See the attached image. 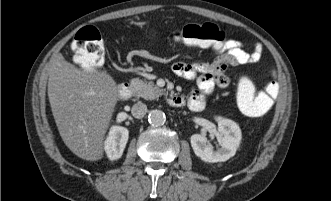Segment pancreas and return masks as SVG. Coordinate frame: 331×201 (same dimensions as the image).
I'll list each match as a JSON object with an SVG mask.
<instances>
[{
	"mask_svg": "<svg viewBox=\"0 0 331 201\" xmlns=\"http://www.w3.org/2000/svg\"><path fill=\"white\" fill-rule=\"evenodd\" d=\"M131 86L134 89V96L142 97L146 100H154L164 94V90L160 89L153 82L146 83L138 78L131 80Z\"/></svg>",
	"mask_w": 331,
	"mask_h": 201,
	"instance_id": "obj_1",
	"label": "pancreas"
}]
</instances>
